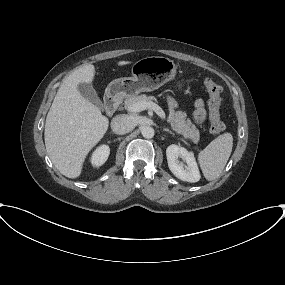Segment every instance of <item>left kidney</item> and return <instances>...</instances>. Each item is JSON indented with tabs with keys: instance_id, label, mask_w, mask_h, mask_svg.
<instances>
[{
	"instance_id": "obj_1",
	"label": "left kidney",
	"mask_w": 285,
	"mask_h": 285,
	"mask_svg": "<svg viewBox=\"0 0 285 285\" xmlns=\"http://www.w3.org/2000/svg\"><path fill=\"white\" fill-rule=\"evenodd\" d=\"M166 156L169 169L177 178L190 183L200 180V172L193 152H189L184 147L172 144L167 147ZM179 158H182L186 165Z\"/></svg>"
}]
</instances>
